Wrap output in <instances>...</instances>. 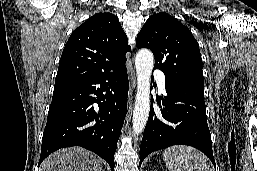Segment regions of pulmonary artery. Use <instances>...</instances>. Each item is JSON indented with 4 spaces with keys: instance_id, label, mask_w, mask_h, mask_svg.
Masks as SVG:
<instances>
[{
    "instance_id": "1",
    "label": "pulmonary artery",
    "mask_w": 257,
    "mask_h": 171,
    "mask_svg": "<svg viewBox=\"0 0 257 171\" xmlns=\"http://www.w3.org/2000/svg\"><path fill=\"white\" fill-rule=\"evenodd\" d=\"M154 76L158 81V87L160 92L165 93V75L160 71H156L154 73Z\"/></svg>"
}]
</instances>
